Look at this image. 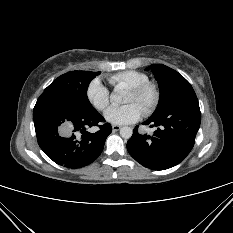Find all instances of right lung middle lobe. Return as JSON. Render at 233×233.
<instances>
[{
	"label": "right lung middle lobe",
	"instance_id": "dd1d6c3e",
	"mask_svg": "<svg viewBox=\"0 0 233 233\" xmlns=\"http://www.w3.org/2000/svg\"><path fill=\"white\" fill-rule=\"evenodd\" d=\"M101 72L71 71L55 79L43 93H51L73 107L94 110L87 97V88L93 78Z\"/></svg>",
	"mask_w": 233,
	"mask_h": 233
}]
</instances>
